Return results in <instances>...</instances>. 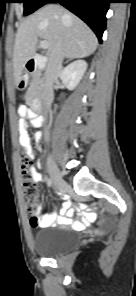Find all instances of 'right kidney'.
I'll return each instance as SVG.
<instances>
[{
	"mask_svg": "<svg viewBox=\"0 0 136 296\" xmlns=\"http://www.w3.org/2000/svg\"><path fill=\"white\" fill-rule=\"evenodd\" d=\"M87 66L86 61L77 60L62 70L60 79L66 88L73 90L77 87L87 70Z\"/></svg>",
	"mask_w": 136,
	"mask_h": 296,
	"instance_id": "1",
	"label": "right kidney"
}]
</instances>
